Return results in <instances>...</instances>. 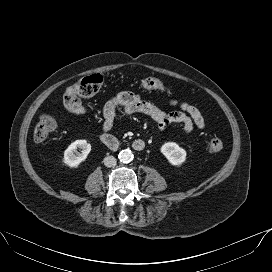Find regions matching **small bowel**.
I'll use <instances>...</instances> for the list:
<instances>
[{
	"instance_id": "obj_1",
	"label": "small bowel",
	"mask_w": 272,
	"mask_h": 272,
	"mask_svg": "<svg viewBox=\"0 0 272 272\" xmlns=\"http://www.w3.org/2000/svg\"><path fill=\"white\" fill-rule=\"evenodd\" d=\"M169 104L178 111L167 112L137 94L128 91L121 92L104 105L102 131L109 133L117 118L134 114L149 116L160 130H164L172 123L181 124L185 133H191L195 127L200 130L205 129L204 117L197 107L178 100H171Z\"/></svg>"
}]
</instances>
